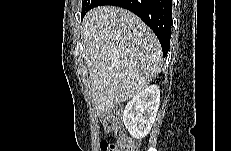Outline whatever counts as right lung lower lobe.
<instances>
[{"label":"right lung lower lobe","instance_id":"right-lung-lower-lobe-1","mask_svg":"<svg viewBox=\"0 0 231 151\" xmlns=\"http://www.w3.org/2000/svg\"><path fill=\"white\" fill-rule=\"evenodd\" d=\"M101 5L119 6L139 16L156 34L163 55H167L171 38L172 0H92L90 9Z\"/></svg>","mask_w":231,"mask_h":151}]
</instances>
